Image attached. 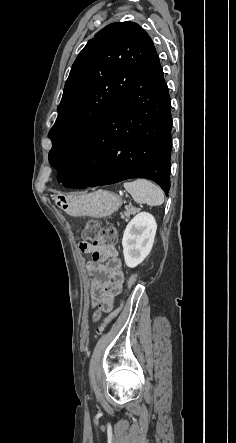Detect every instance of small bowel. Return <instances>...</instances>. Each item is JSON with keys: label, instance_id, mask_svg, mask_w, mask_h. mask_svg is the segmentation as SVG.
<instances>
[{"label": "small bowel", "instance_id": "obj_1", "mask_svg": "<svg viewBox=\"0 0 236 443\" xmlns=\"http://www.w3.org/2000/svg\"><path fill=\"white\" fill-rule=\"evenodd\" d=\"M83 251L92 254L87 269L93 279L90 295L101 312H110L125 280V271L113 245H85Z\"/></svg>", "mask_w": 236, "mask_h": 443}]
</instances>
